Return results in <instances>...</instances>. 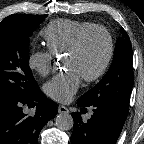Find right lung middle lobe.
<instances>
[{
  "instance_id": "right-lung-middle-lobe-1",
  "label": "right lung middle lobe",
  "mask_w": 144,
  "mask_h": 144,
  "mask_svg": "<svg viewBox=\"0 0 144 144\" xmlns=\"http://www.w3.org/2000/svg\"><path fill=\"white\" fill-rule=\"evenodd\" d=\"M46 17L16 14L0 22V105L25 100L40 90L29 67V37Z\"/></svg>"
}]
</instances>
